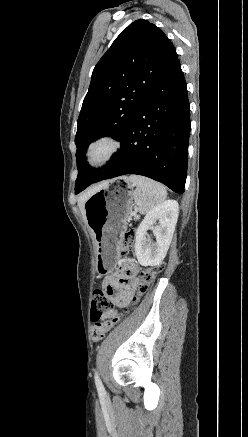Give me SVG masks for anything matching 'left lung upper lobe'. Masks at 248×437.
<instances>
[{"instance_id": "5c2ea615", "label": "left lung upper lobe", "mask_w": 248, "mask_h": 437, "mask_svg": "<svg viewBox=\"0 0 248 437\" xmlns=\"http://www.w3.org/2000/svg\"><path fill=\"white\" fill-rule=\"evenodd\" d=\"M177 59L166 35L154 24L139 19L119 34L96 64L77 121L76 194L102 172L86 162L89 144L102 136L122 141L134 114Z\"/></svg>"}]
</instances>
